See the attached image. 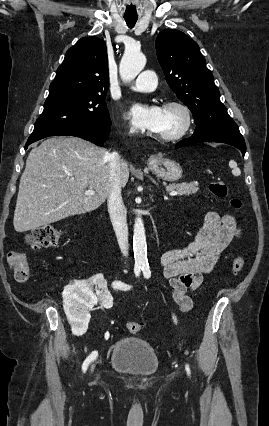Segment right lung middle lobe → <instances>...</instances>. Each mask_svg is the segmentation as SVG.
I'll use <instances>...</instances> for the list:
<instances>
[{
	"mask_svg": "<svg viewBox=\"0 0 269 426\" xmlns=\"http://www.w3.org/2000/svg\"><path fill=\"white\" fill-rule=\"evenodd\" d=\"M106 93L63 90L49 93L43 113L38 117L29 140L88 124L107 126L111 123Z\"/></svg>",
	"mask_w": 269,
	"mask_h": 426,
	"instance_id": "obj_1",
	"label": "right lung middle lobe"
}]
</instances>
